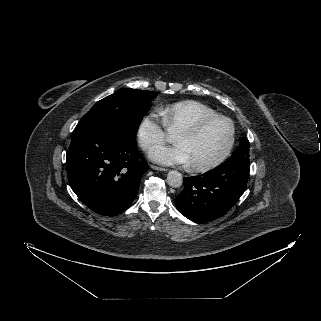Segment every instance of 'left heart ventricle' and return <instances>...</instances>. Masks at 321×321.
I'll list each match as a JSON object with an SVG mask.
<instances>
[{"label":"left heart ventricle","instance_id":"1","mask_svg":"<svg viewBox=\"0 0 321 321\" xmlns=\"http://www.w3.org/2000/svg\"><path fill=\"white\" fill-rule=\"evenodd\" d=\"M229 134L228 124L223 120H215L195 134L178 132L175 141L186 146L191 164H204L215 160L222 153Z\"/></svg>","mask_w":321,"mask_h":321}]
</instances>
